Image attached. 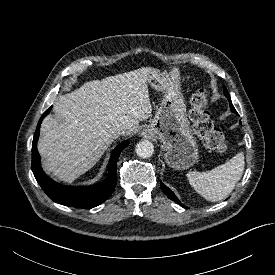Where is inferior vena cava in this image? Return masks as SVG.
<instances>
[{
	"label": "inferior vena cava",
	"instance_id": "inferior-vena-cava-1",
	"mask_svg": "<svg viewBox=\"0 0 275 275\" xmlns=\"http://www.w3.org/2000/svg\"><path fill=\"white\" fill-rule=\"evenodd\" d=\"M117 135H126L127 134V130L126 128L124 127H121L119 128L117 131H116Z\"/></svg>",
	"mask_w": 275,
	"mask_h": 275
}]
</instances>
